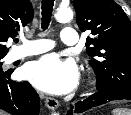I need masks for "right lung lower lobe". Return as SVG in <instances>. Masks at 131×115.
Masks as SVG:
<instances>
[{"label":"right lung lower lobe","instance_id":"obj_1","mask_svg":"<svg viewBox=\"0 0 131 115\" xmlns=\"http://www.w3.org/2000/svg\"><path fill=\"white\" fill-rule=\"evenodd\" d=\"M11 73H0V108L12 115H38V94L28 82L12 81Z\"/></svg>","mask_w":131,"mask_h":115}]
</instances>
